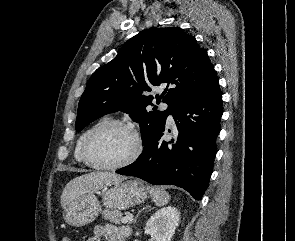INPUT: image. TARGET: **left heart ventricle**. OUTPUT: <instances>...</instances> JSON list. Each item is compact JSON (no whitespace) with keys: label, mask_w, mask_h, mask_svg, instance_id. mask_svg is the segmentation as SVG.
<instances>
[{"label":"left heart ventricle","mask_w":295,"mask_h":241,"mask_svg":"<svg viewBox=\"0 0 295 241\" xmlns=\"http://www.w3.org/2000/svg\"><path fill=\"white\" fill-rule=\"evenodd\" d=\"M135 149L133 134L121 127L101 133L91 148L92 158L101 164H116L128 159Z\"/></svg>","instance_id":"obj_1"}]
</instances>
